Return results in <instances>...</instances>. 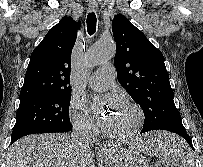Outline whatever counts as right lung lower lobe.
<instances>
[{"label": "right lung lower lobe", "instance_id": "right-lung-lower-lobe-1", "mask_svg": "<svg viewBox=\"0 0 203 167\" xmlns=\"http://www.w3.org/2000/svg\"><path fill=\"white\" fill-rule=\"evenodd\" d=\"M58 132H62V131H50V132H47V133H58ZM16 140H11V143H14Z\"/></svg>", "mask_w": 203, "mask_h": 167}]
</instances>
